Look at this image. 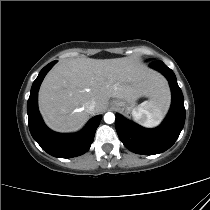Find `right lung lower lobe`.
Returning <instances> with one entry per match:
<instances>
[{
    "mask_svg": "<svg viewBox=\"0 0 210 210\" xmlns=\"http://www.w3.org/2000/svg\"><path fill=\"white\" fill-rule=\"evenodd\" d=\"M56 62L53 61L46 65L33 82L27 103L28 124L32 137L44 151L54 157L71 158L80 156L89 150L101 115L92 118L83 130L75 134H60L46 127L38 111V90L44 76Z\"/></svg>",
    "mask_w": 210,
    "mask_h": 210,
    "instance_id": "1",
    "label": "right lung lower lobe"
}]
</instances>
